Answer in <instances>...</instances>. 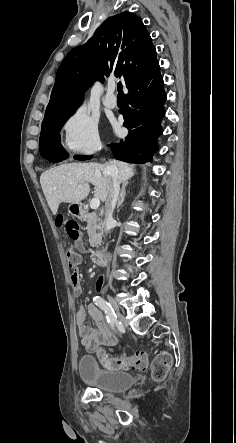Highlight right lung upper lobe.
<instances>
[{
  "label": "right lung upper lobe",
  "mask_w": 236,
  "mask_h": 443,
  "mask_svg": "<svg viewBox=\"0 0 236 443\" xmlns=\"http://www.w3.org/2000/svg\"><path fill=\"white\" fill-rule=\"evenodd\" d=\"M156 62V49L138 16L125 11L109 17L93 38L62 61L44 120L78 108L96 78L114 74L127 84Z\"/></svg>",
  "instance_id": "right-lung-upper-lobe-1"
}]
</instances>
